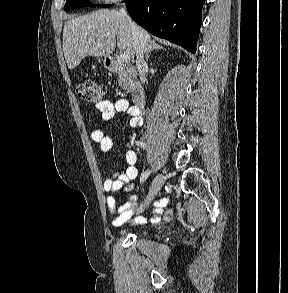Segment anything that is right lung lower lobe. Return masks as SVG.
Masks as SVG:
<instances>
[{"label": "right lung lower lobe", "mask_w": 288, "mask_h": 293, "mask_svg": "<svg viewBox=\"0 0 288 293\" xmlns=\"http://www.w3.org/2000/svg\"><path fill=\"white\" fill-rule=\"evenodd\" d=\"M131 18L148 32L196 52L205 0H125Z\"/></svg>", "instance_id": "98d812e1"}]
</instances>
